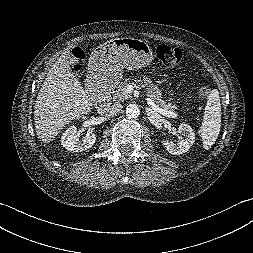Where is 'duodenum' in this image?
<instances>
[{"label":"duodenum","instance_id":"duodenum-1","mask_svg":"<svg viewBox=\"0 0 253 253\" xmlns=\"http://www.w3.org/2000/svg\"><path fill=\"white\" fill-rule=\"evenodd\" d=\"M98 96L97 102L100 112H104L109 104V89L106 87L99 86L95 90Z\"/></svg>","mask_w":253,"mask_h":253}]
</instances>
